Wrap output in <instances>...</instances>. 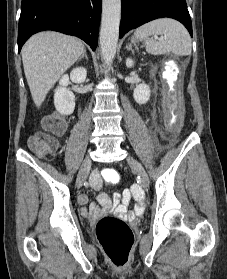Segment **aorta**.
Here are the masks:
<instances>
[{
    "instance_id": "1",
    "label": "aorta",
    "mask_w": 227,
    "mask_h": 279,
    "mask_svg": "<svg viewBox=\"0 0 227 279\" xmlns=\"http://www.w3.org/2000/svg\"><path fill=\"white\" fill-rule=\"evenodd\" d=\"M120 17L121 0H102L100 52L106 65L113 61L116 54Z\"/></svg>"
}]
</instances>
